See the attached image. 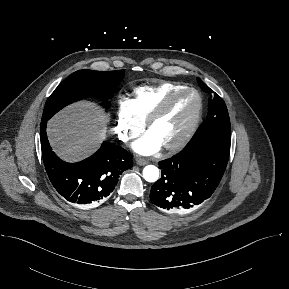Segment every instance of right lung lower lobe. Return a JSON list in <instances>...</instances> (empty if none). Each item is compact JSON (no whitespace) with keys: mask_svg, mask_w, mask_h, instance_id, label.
Here are the masks:
<instances>
[{"mask_svg":"<svg viewBox=\"0 0 289 289\" xmlns=\"http://www.w3.org/2000/svg\"><path fill=\"white\" fill-rule=\"evenodd\" d=\"M46 124L47 121L41 122L40 126L45 169L57 192L71 203L94 205L102 202L114 190L120 174L133 166V156L109 142H103L96 153L81 162H64L49 145Z\"/></svg>","mask_w":289,"mask_h":289,"instance_id":"1","label":"right lung lower lobe"}]
</instances>
